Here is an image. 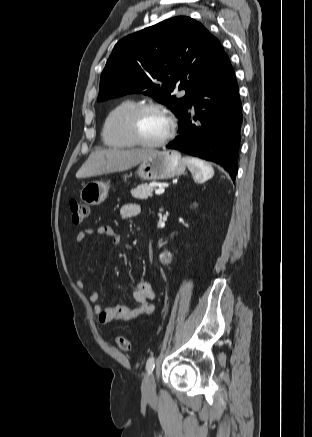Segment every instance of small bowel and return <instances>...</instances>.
I'll return each mask as SVG.
<instances>
[{"instance_id": "small-bowel-1", "label": "small bowel", "mask_w": 312, "mask_h": 437, "mask_svg": "<svg viewBox=\"0 0 312 437\" xmlns=\"http://www.w3.org/2000/svg\"><path fill=\"white\" fill-rule=\"evenodd\" d=\"M140 214V208L135 203H126L121 207V215L124 218H136ZM93 233L92 229H85L77 235V244H82L86 237ZM99 235L107 236L111 239L114 246H120L122 236L110 226H101L98 228ZM77 286L83 288V282L78 279ZM134 306L116 305L104 307L99 301V294L96 291L88 293V299L94 303V314L102 325H109L114 321H129L145 316H150L154 312V305L151 300L154 298V291L149 282L145 280L138 281L133 291Z\"/></svg>"}]
</instances>
